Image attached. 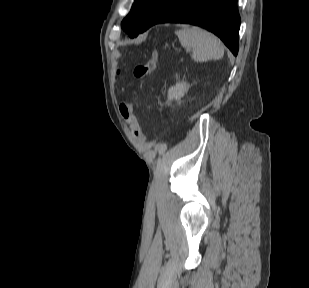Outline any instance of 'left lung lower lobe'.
Wrapping results in <instances>:
<instances>
[{
	"mask_svg": "<svg viewBox=\"0 0 309 288\" xmlns=\"http://www.w3.org/2000/svg\"><path fill=\"white\" fill-rule=\"evenodd\" d=\"M187 23L216 34L236 56L240 16L237 0H162L131 38L159 23Z\"/></svg>",
	"mask_w": 309,
	"mask_h": 288,
	"instance_id": "obj_1",
	"label": "left lung lower lobe"
}]
</instances>
